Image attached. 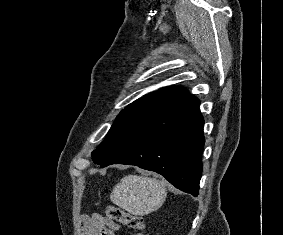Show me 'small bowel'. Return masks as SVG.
<instances>
[{
    "instance_id": "c3829d8e",
    "label": "small bowel",
    "mask_w": 283,
    "mask_h": 235,
    "mask_svg": "<svg viewBox=\"0 0 283 235\" xmlns=\"http://www.w3.org/2000/svg\"><path fill=\"white\" fill-rule=\"evenodd\" d=\"M85 235H116L119 225L101 214L82 219Z\"/></svg>"
}]
</instances>
